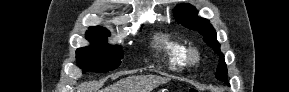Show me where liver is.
Masks as SVG:
<instances>
[{
    "mask_svg": "<svg viewBox=\"0 0 289 92\" xmlns=\"http://www.w3.org/2000/svg\"><path fill=\"white\" fill-rule=\"evenodd\" d=\"M169 81V78L157 75L131 76L120 80L101 92H152L154 88ZM91 89L92 87L88 90Z\"/></svg>",
    "mask_w": 289,
    "mask_h": 92,
    "instance_id": "6515ba94",
    "label": "liver"
}]
</instances>
